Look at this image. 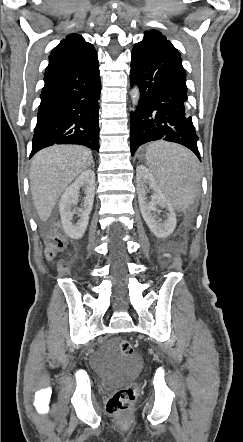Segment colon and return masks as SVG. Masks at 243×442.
<instances>
[{
  "mask_svg": "<svg viewBox=\"0 0 243 442\" xmlns=\"http://www.w3.org/2000/svg\"><path fill=\"white\" fill-rule=\"evenodd\" d=\"M173 242L177 246H183L184 248H177V251H188V243L186 239L182 237H175ZM66 244V237L60 227L56 229L48 236L45 248L44 256L47 259L53 258L59 251L63 249ZM171 251V248H168ZM120 353L124 356L132 355L134 352L133 345L130 341L123 339L119 344ZM138 387L136 384H130L116 390L106 402V411L113 416L125 417L130 409V406L137 396Z\"/></svg>",
  "mask_w": 243,
  "mask_h": 442,
  "instance_id": "colon-1",
  "label": "colon"
}]
</instances>
